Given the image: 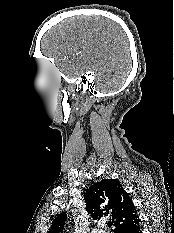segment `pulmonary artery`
<instances>
[{"instance_id":"obj_1","label":"pulmonary artery","mask_w":174,"mask_h":233,"mask_svg":"<svg viewBox=\"0 0 174 233\" xmlns=\"http://www.w3.org/2000/svg\"><path fill=\"white\" fill-rule=\"evenodd\" d=\"M92 233H104V231L101 229H94Z\"/></svg>"}]
</instances>
